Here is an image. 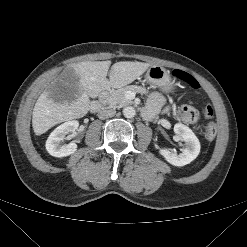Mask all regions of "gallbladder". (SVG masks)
Instances as JSON below:
<instances>
[{
  "label": "gallbladder",
  "instance_id": "gallbladder-1",
  "mask_svg": "<svg viewBox=\"0 0 247 247\" xmlns=\"http://www.w3.org/2000/svg\"><path fill=\"white\" fill-rule=\"evenodd\" d=\"M49 89L54 92H65L69 89V81L61 77Z\"/></svg>",
  "mask_w": 247,
  "mask_h": 247
}]
</instances>
